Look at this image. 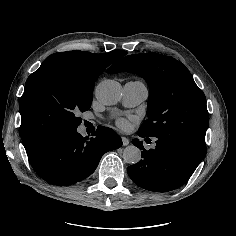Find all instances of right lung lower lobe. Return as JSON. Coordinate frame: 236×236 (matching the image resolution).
I'll return each instance as SVG.
<instances>
[{"mask_svg": "<svg viewBox=\"0 0 236 236\" xmlns=\"http://www.w3.org/2000/svg\"><path fill=\"white\" fill-rule=\"evenodd\" d=\"M93 137H83L77 129L60 132L27 152L36 173L48 183L71 185L91 175L102 155L122 146L111 128L98 126Z\"/></svg>", "mask_w": 236, "mask_h": 236, "instance_id": "right-lung-lower-lobe-1", "label": "right lung lower lobe"}]
</instances>
